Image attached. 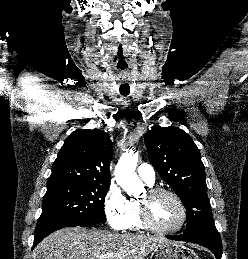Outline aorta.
<instances>
[{"label":"aorta","mask_w":248,"mask_h":259,"mask_svg":"<svg viewBox=\"0 0 248 259\" xmlns=\"http://www.w3.org/2000/svg\"><path fill=\"white\" fill-rule=\"evenodd\" d=\"M138 154L132 150L126 151L115 167V180L129 195H138L144 185L135 173Z\"/></svg>","instance_id":"aorta-1"}]
</instances>
